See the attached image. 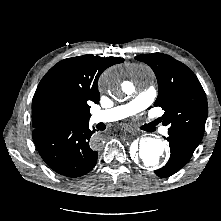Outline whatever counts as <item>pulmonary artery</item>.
Returning <instances> with one entry per match:
<instances>
[{
  "mask_svg": "<svg viewBox=\"0 0 221 221\" xmlns=\"http://www.w3.org/2000/svg\"><path fill=\"white\" fill-rule=\"evenodd\" d=\"M156 93L154 87H149L126 104L94 112L91 116V121L93 123L114 122L135 115L152 104L156 97ZM167 131V127L162 128L164 134H166Z\"/></svg>",
  "mask_w": 221,
  "mask_h": 221,
  "instance_id": "pulmonary-artery-1",
  "label": "pulmonary artery"
}]
</instances>
